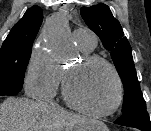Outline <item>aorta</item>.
Segmentation results:
<instances>
[{
  "instance_id": "762f6f07",
  "label": "aorta",
  "mask_w": 151,
  "mask_h": 131,
  "mask_svg": "<svg viewBox=\"0 0 151 131\" xmlns=\"http://www.w3.org/2000/svg\"><path fill=\"white\" fill-rule=\"evenodd\" d=\"M45 42L52 46L58 61H69L75 56L74 44L68 33L66 19L60 15L54 17L46 27Z\"/></svg>"
}]
</instances>
